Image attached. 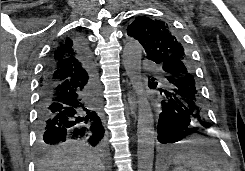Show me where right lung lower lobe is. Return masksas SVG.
<instances>
[{
  "instance_id": "obj_1",
  "label": "right lung lower lobe",
  "mask_w": 245,
  "mask_h": 171,
  "mask_svg": "<svg viewBox=\"0 0 245 171\" xmlns=\"http://www.w3.org/2000/svg\"><path fill=\"white\" fill-rule=\"evenodd\" d=\"M76 48L87 68L85 76L51 81L54 69L51 58L45 65L37 118L38 140L42 144L76 140L96 146L104 141L100 94L91 51L80 38H77Z\"/></svg>"
}]
</instances>
